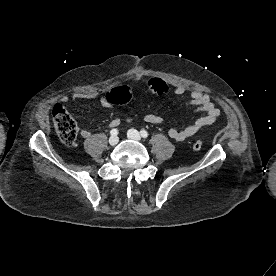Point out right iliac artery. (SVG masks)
<instances>
[{
    "mask_svg": "<svg viewBox=\"0 0 276 276\" xmlns=\"http://www.w3.org/2000/svg\"><path fill=\"white\" fill-rule=\"evenodd\" d=\"M110 134L113 136V135H117L118 134V130L117 129H112L110 131Z\"/></svg>",
    "mask_w": 276,
    "mask_h": 276,
    "instance_id": "obj_1",
    "label": "right iliac artery"
}]
</instances>
